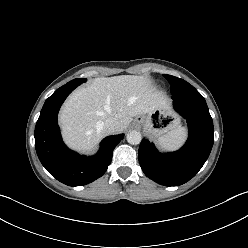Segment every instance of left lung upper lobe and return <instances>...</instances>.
I'll return each mask as SVG.
<instances>
[{"label": "left lung upper lobe", "instance_id": "1", "mask_svg": "<svg viewBox=\"0 0 248 248\" xmlns=\"http://www.w3.org/2000/svg\"><path fill=\"white\" fill-rule=\"evenodd\" d=\"M163 76L170 83L171 93L173 96H186V95L199 94V92L185 80L171 75H163Z\"/></svg>", "mask_w": 248, "mask_h": 248}]
</instances>
